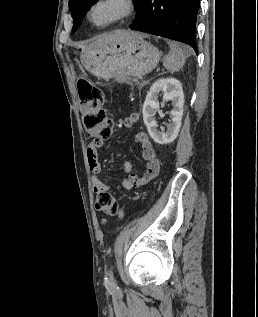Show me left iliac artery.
I'll return each mask as SVG.
<instances>
[{"label":"left iliac artery","mask_w":258,"mask_h":317,"mask_svg":"<svg viewBox=\"0 0 258 317\" xmlns=\"http://www.w3.org/2000/svg\"><path fill=\"white\" fill-rule=\"evenodd\" d=\"M110 278H111V284L108 287V292L110 294H118L121 292L119 286L117 285L116 279L114 277L113 267L110 268Z\"/></svg>","instance_id":"1"}]
</instances>
